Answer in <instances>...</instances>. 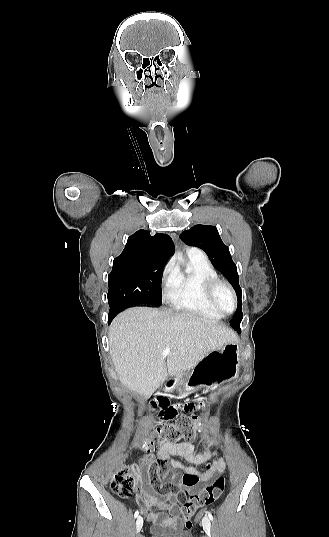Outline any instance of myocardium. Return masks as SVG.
<instances>
[{
  "label": "myocardium",
  "instance_id": "obj_1",
  "mask_svg": "<svg viewBox=\"0 0 329 537\" xmlns=\"http://www.w3.org/2000/svg\"><path fill=\"white\" fill-rule=\"evenodd\" d=\"M220 288H225L226 290H228L232 297H233V301H234V307H233V310L231 312H226L224 311L217 303L216 301V294L218 292V290ZM206 297H207V300L209 302V304L217 311L219 312L220 314L222 315H231L233 314L237 307H238V297L236 295V292L235 290L233 289V287L227 283L226 281H223L219 278H215V279H210L207 284H206Z\"/></svg>",
  "mask_w": 329,
  "mask_h": 537
}]
</instances>
